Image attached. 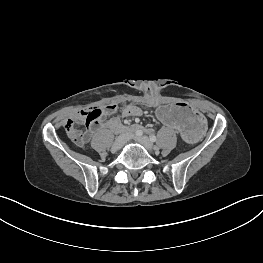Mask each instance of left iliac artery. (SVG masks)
<instances>
[{
  "instance_id": "left-iliac-artery-1",
  "label": "left iliac artery",
  "mask_w": 263,
  "mask_h": 263,
  "mask_svg": "<svg viewBox=\"0 0 263 263\" xmlns=\"http://www.w3.org/2000/svg\"><path fill=\"white\" fill-rule=\"evenodd\" d=\"M150 140H151L152 142H155V141H156V136H155V135H151V136H150Z\"/></svg>"
}]
</instances>
